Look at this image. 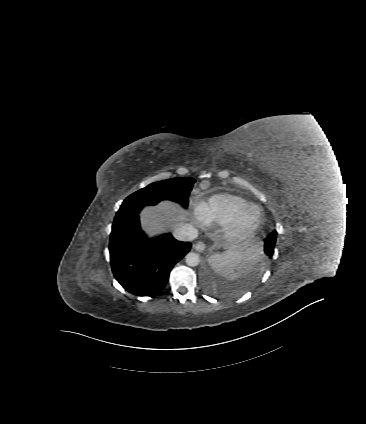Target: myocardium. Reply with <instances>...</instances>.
<instances>
[{
  "label": "myocardium",
  "instance_id": "obj_1",
  "mask_svg": "<svg viewBox=\"0 0 366 424\" xmlns=\"http://www.w3.org/2000/svg\"><path fill=\"white\" fill-rule=\"evenodd\" d=\"M255 210V220L250 225L244 224V218L248 211ZM262 222V214L260 209L248 204L241 208L232 220L227 223L222 231V239L226 243H237L252 237L259 229Z\"/></svg>",
  "mask_w": 366,
  "mask_h": 424
}]
</instances>
